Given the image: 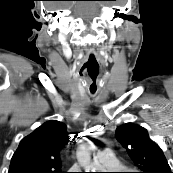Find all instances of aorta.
Instances as JSON below:
<instances>
[{
    "mask_svg": "<svg viewBox=\"0 0 173 173\" xmlns=\"http://www.w3.org/2000/svg\"><path fill=\"white\" fill-rule=\"evenodd\" d=\"M77 159L85 172H95V165L91 162L90 151L83 149L77 152Z\"/></svg>",
    "mask_w": 173,
    "mask_h": 173,
    "instance_id": "obj_1",
    "label": "aorta"
}]
</instances>
